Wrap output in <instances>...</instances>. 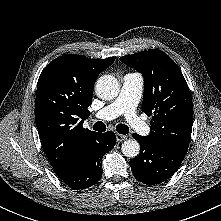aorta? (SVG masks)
Segmentation results:
<instances>
[{"instance_id":"762f6f07","label":"aorta","mask_w":221,"mask_h":221,"mask_svg":"<svg viewBox=\"0 0 221 221\" xmlns=\"http://www.w3.org/2000/svg\"><path fill=\"white\" fill-rule=\"evenodd\" d=\"M119 91V82L112 75H103L96 82V95L103 100L114 99L119 94ZM121 150L126 157L134 158L140 152V145L135 139H129L123 142Z\"/></svg>"}]
</instances>
